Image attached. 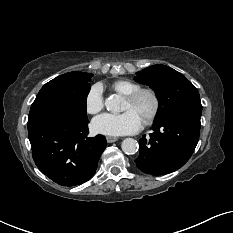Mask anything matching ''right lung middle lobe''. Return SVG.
<instances>
[{
	"instance_id": "right-lung-middle-lobe-1",
	"label": "right lung middle lobe",
	"mask_w": 233,
	"mask_h": 233,
	"mask_svg": "<svg viewBox=\"0 0 233 233\" xmlns=\"http://www.w3.org/2000/svg\"><path fill=\"white\" fill-rule=\"evenodd\" d=\"M93 74L70 72L46 83L31 105L29 117L42 110H64L87 119L86 100Z\"/></svg>"
}]
</instances>
